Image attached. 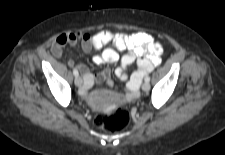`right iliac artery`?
Instances as JSON below:
<instances>
[{"label": "right iliac artery", "instance_id": "right-iliac-artery-1", "mask_svg": "<svg viewBox=\"0 0 225 155\" xmlns=\"http://www.w3.org/2000/svg\"><path fill=\"white\" fill-rule=\"evenodd\" d=\"M73 74L75 75V77L78 76V71H77V69H73Z\"/></svg>", "mask_w": 225, "mask_h": 155}]
</instances>
